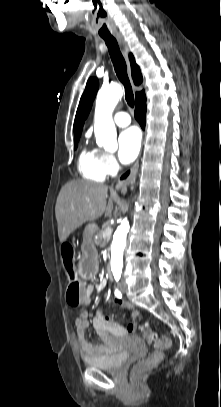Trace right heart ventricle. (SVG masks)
Segmentation results:
<instances>
[{
    "label": "right heart ventricle",
    "mask_w": 221,
    "mask_h": 407,
    "mask_svg": "<svg viewBox=\"0 0 221 407\" xmlns=\"http://www.w3.org/2000/svg\"><path fill=\"white\" fill-rule=\"evenodd\" d=\"M101 152L97 150L84 149L78 160V169L82 177L87 180L101 182L106 173L101 166Z\"/></svg>",
    "instance_id": "obj_1"
}]
</instances>
